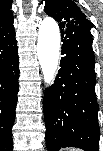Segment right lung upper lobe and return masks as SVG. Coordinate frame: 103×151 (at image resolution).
I'll return each instance as SVG.
<instances>
[{
    "label": "right lung upper lobe",
    "instance_id": "right-lung-upper-lobe-1",
    "mask_svg": "<svg viewBox=\"0 0 103 151\" xmlns=\"http://www.w3.org/2000/svg\"><path fill=\"white\" fill-rule=\"evenodd\" d=\"M10 0H4L0 6V33L7 32L13 28V15L10 11Z\"/></svg>",
    "mask_w": 103,
    "mask_h": 151
}]
</instances>
